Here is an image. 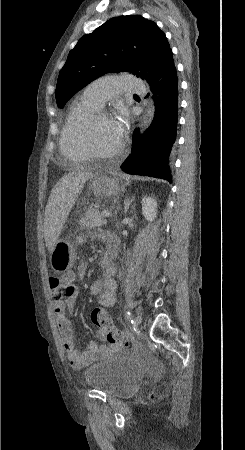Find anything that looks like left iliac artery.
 I'll return each instance as SVG.
<instances>
[{
  "label": "left iliac artery",
  "mask_w": 245,
  "mask_h": 450,
  "mask_svg": "<svg viewBox=\"0 0 245 450\" xmlns=\"http://www.w3.org/2000/svg\"><path fill=\"white\" fill-rule=\"evenodd\" d=\"M126 317H127V319L131 322V323H133V320H132V317H131V313L128 311V312H126Z\"/></svg>",
  "instance_id": "1"
}]
</instances>
